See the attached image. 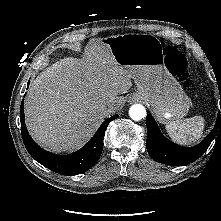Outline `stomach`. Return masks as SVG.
I'll list each match as a JSON object with an SVG mask.
<instances>
[{"instance_id": "1", "label": "stomach", "mask_w": 221, "mask_h": 221, "mask_svg": "<svg viewBox=\"0 0 221 221\" xmlns=\"http://www.w3.org/2000/svg\"><path fill=\"white\" fill-rule=\"evenodd\" d=\"M116 63L134 80L133 97L149 103L163 124L181 120L189 111L190 100L180 83L164 65L162 45L150 34H122L101 39Z\"/></svg>"}]
</instances>
